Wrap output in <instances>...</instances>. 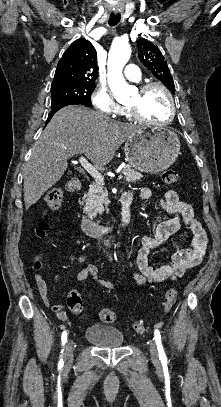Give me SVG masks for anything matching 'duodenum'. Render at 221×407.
<instances>
[{"instance_id": "1", "label": "duodenum", "mask_w": 221, "mask_h": 407, "mask_svg": "<svg viewBox=\"0 0 221 407\" xmlns=\"http://www.w3.org/2000/svg\"><path fill=\"white\" fill-rule=\"evenodd\" d=\"M69 190L71 192H79L82 189V184L81 183H76V182H71L68 184ZM121 203V219L119 223L117 224L118 228H127L130 224V219H131V210H130V204H131V198L127 193H123L120 199ZM82 227L85 232V234L89 236H101L108 232L110 227L105 224H100L95 222L94 220L90 219L87 216H83L82 220Z\"/></svg>"}]
</instances>
